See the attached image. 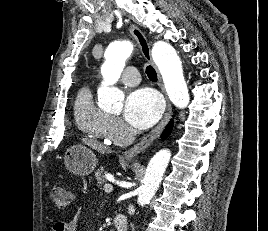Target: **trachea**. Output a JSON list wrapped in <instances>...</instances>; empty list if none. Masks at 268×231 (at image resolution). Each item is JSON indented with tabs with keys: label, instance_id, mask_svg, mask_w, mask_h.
<instances>
[{
	"label": "trachea",
	"instance_id": "3493384b",
	"mask_svg": "<svg viewBox=\"0 0 268 231\" xmlns=\"http://www.w3.org/2000/svg\"><path fill=\"white\" fill-rule=\"evenodd\" d=\"M146 74L150 80L156 81L157 80V74L156 71L152 66L146 67Z\"/></svg>",
	"mask_w": 268,
	"mask_h": 231
}]
</instances>
